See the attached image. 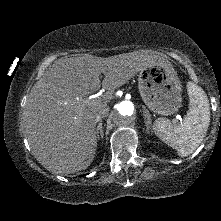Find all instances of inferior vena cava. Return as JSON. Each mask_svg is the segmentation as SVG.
<instances>
[{
    "label": "inferior vena cava",
    "mask_w": 221,
    "mask_h": 221,
    "mask_svg": "<svg viewBox=\"0 0 221 221\" xmlns=\"http://www.w3.org/2000/svg\"><path fill=\"white\" fill-rule=\"evenodd\" d=\"M107 112H108V108H107V107L102 108V109L98 112V114L96 115L95 121H96V122L101 121L102 118L105 117V115L107 114Z\"/></svg>",
    "instance_id": "1"
}]
</instances>
